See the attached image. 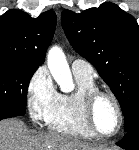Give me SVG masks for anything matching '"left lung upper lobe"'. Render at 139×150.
Masks as SVG:
<instances>
[{
	"instance_id": "left-lung-upper-lobe-1",
	"label": "left lung upper lobe",
	"mask_w": 139,
	"mask_h": 150,
	"mask_svg": "<svg viewBox=\"0 0 139 150\" xmlns=\"http://www.w3.org/2000/svg\"><path fill=\"white\" fill-rule=\"evenodd\" d=\"M71 45L95 66L124 114L125 132L139 128V26L116 4L103 3L76 14L61 13Z\"/></svg>"
}]
</instances>
